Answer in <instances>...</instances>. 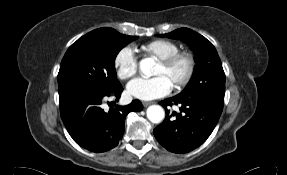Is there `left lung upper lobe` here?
Here are the masks:
<instances>
[{
	"instance_id": "1",
	"label": "left lung upper lobe",
	"mask_w": 287,
	"mask_h": 175,
	"mask_svg": "<svg viewBox=\"0 0 287 175\" xmlns=\"http://www.w3.org/2000/svg\"><path fill=\"white\" fill-rule=\"evenodd\" d=\"M166 36L185 41L195 53L194 73L188 85L178 96L203 97L223 105L225 73L213 44L188 28L177 29Z\"/></svg>"
}]
</instances>
